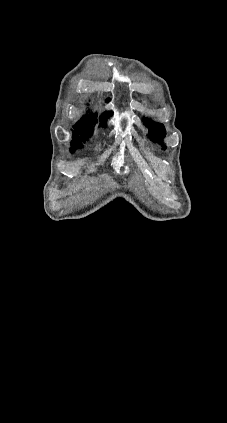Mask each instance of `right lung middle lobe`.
<instances>
[{
  "label": "right lung middle lobe",
  "instance_id": "obj_1",
  "mask_svg": "<svg viewBox=\"0 0 227 423\" xmlns=\"http://www.w3.org/2000/svg\"><path fill=\"white\" fill-rule=\"evenodd\" d=\"M76 145V143H73V146H75ZM71 152H74V149L73 150H71Z\"/></svg>",
  "mask_w": 227,
  "mask_h": 423
}]
</instances>
